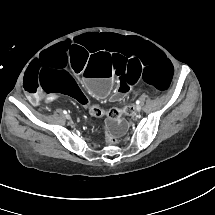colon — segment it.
<instances>
[{"mask_svg": "<svg viewBox=\"0 0 215 215\" xmlns=\"http://www.w3.org/2000/svg\"><path fill=\"white\" fill-rule=\"evenodd\" d=\"M129 111H130L129 108L119 109L116 107H112L105 112L95 104H92L87 108L88 114L92 117H97V116H101L103 114H106L108 117H110L112 119H117L120 116L129 113Z\"/></svg>", "mask_w": 215, "mask_h": 215, "instance_id": "obj_1", "label": "colon"}]
</instances>
